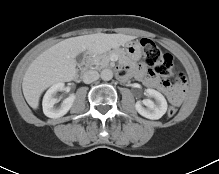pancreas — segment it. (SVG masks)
<instances>
[{"label":"pancreas","mask_w":219,"mask_h":174,"mask_svg":"<svg viewBox=\"0 0 219 174\" xmlns=\"http://www.w3.org/2000/svg\"><path fill=\"white\" fill-rule=\"evenodd\" d=\"M112 54H117L118 57H119V60L121 62H126L127 61V57L122 52H119V51H109V52H105L103 54H99V55L91 58L89 62H90V64L95 65L96 68L107 67L109 65L110 56Z\"/></svg>","instance_id":"cf45deb5"}]
</instances>
